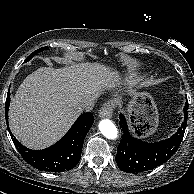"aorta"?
I'll return each instance as SVG.
<instances>
[{"instance_id": "aorta-1", "label": "aorta", "mask_w": 194, "mask_h": 194, "mask_svg": "<svg viewBox=\"0 0 194 194\" xmlns=\"http://www.w3.org/2000/svg\"><path fill=\"white\" fill-rule=\"evenodd\" d=\"M99 130L108 139H116L118 136L117 127L109 119H103L99 122Z\"/></svg>"}]
</instances>
